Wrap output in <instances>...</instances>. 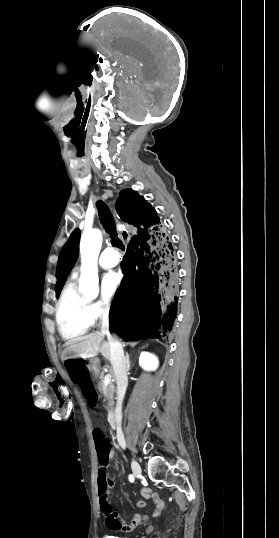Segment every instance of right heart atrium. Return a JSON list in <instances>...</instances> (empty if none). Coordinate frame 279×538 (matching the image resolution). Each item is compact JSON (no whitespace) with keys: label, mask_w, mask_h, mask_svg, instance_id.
Here are the masks:
<instances>
[{"label":"right heart atrium","mask_w":279,"mask_h":538,"mask_svg":"<svg viewBox=\"0 0 279 538\" xmlns=\"http://www.w3.org/2000/svg\"><path fill=\"white\" fill-rule=\"evenodd\" d=\"M113 304L108 298H101L92 303V313L95 320L108 319L113 314Z\"/></svg>","instance_id":"obj_1"}]
</instances>
